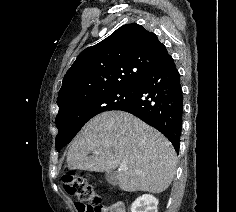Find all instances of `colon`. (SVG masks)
<instances>
[{"instance_id":"obj_1","label":"colon","mask_w":236,"mask_h":212,"mask_svg":"<svg viewBox=\"0 0 236 212\" xmlns=\"http://www.w3.org/2000/svg\"><path fill=\"white\" fill-rule=\"evenodd\" d=\"M63 185L77 199L81 212H104L96 189L86 176L67 174L63 177Z\"/></svg>"}]
</instances>
